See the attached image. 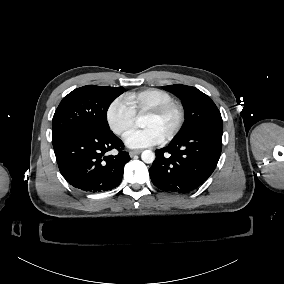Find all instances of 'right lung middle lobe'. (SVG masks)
<instances>
[{
  "mask_svg": "<svg viewBox=\"0 0 284 284\" xmlns=\"http://www.w3.org/2000/svg\"><path fill=\"white\" fill-rule=\"evenodd\" d=\"M123 87L87 85L66 95L52 120V139L76 129L110 131L107 110Z\"/></svg>",
  "mask_w": 284,
  "mask_h": 284,
  "instance_id": "1",
  "label": "right lung middle lobe"
}]
</instances>
